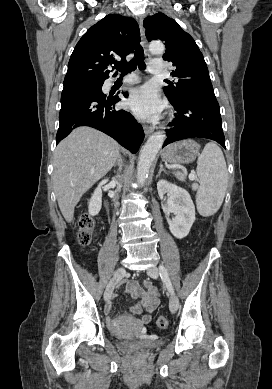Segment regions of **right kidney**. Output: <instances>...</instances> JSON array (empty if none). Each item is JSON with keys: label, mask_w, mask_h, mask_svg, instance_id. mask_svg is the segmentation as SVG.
I'll use <instances>...</instances> for the list:
<instances>
[{"label": "right kidney", "mask_w": 272, "mask_h": 389, "mask_svg": "<svg viewBox=\"0 0 272 389\" xmlns=\"http://www.w3.org/2000/svg\"><path fill=\"white\" fill-rule=\"evenodd\" d=\"M107 182V180L102 181L98 187L95 189L90 201H89V214L92 216L97 215L102 206V190L101 187Z\"/></svg>", "instance_id": "ca27d5eb"}]
</instances>
